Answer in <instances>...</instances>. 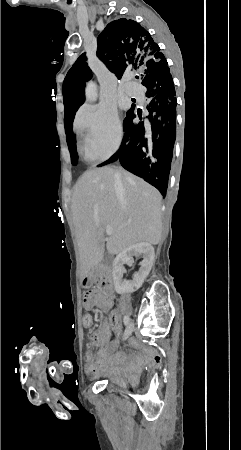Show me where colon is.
Here are the masks:
<instances>
[{
    "instance_id": "1",
    "label": "colon",
    "mask_w": 241,
    "mask_h": 450,
    "mask_svg": "<svg viewBox=\"0 0 241 450\" xmlns=\"http://www.w3.org/2000/svg\"><path fill=\"white\" fill-rule=\"evenodd\" d=\"M79 325L84 326L86 329L93 328V315L86 313L79 314Z\"/></svg>"
}]
</instances>
